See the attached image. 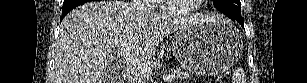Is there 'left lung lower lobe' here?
<instances>
[{
  "label": "left lung lower lobe",
  "mask_w": 307,
  "mask_h": 83,
  "mask_svg": "<svg viewBox=\"0 0 307 83\" xmlns=\"http://www.w3.org/2000/svg\"><path fill=\"white\" fill-rule=\"evenodd\" d=\"M227 17H229V18L232 19V20L238 21V22L241 24V26L244 28V20H243V18H239V17H230V16H227Z\"/></svg>",
  "instance_id": "1"
}]
</instances>
